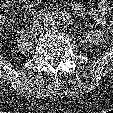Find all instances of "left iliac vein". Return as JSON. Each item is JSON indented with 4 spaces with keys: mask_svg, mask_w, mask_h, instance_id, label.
<instances>
[{
    "mask_svg": "<svg viewBox=\"0 0 113 113\" xmlns=\"http://www.w3.org/2000/svg\"><path fill=\"white\" fill-rule=\"evenodd\" d=\"M46 30H47V31H51L52 29L50 28V26H49V27L47 26V27H46Z\"/></svg>",
    "mask_w": 113,
    "mask_h": 113,
    "instance_id": "obj_1",
    "label": "left iliac vein"
}]
</instances>
